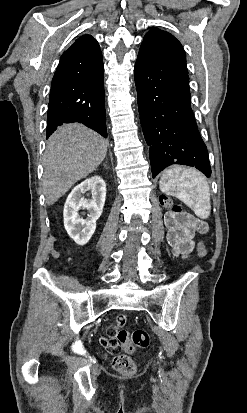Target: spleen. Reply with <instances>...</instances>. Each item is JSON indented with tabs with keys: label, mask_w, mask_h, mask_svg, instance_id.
Returning <instances> with one entry per match:
<instances>
[{
	"label": "spleen",
	"mask_w": 247,
	"mask_h": 413,
	"mask_svg": "<svg viewBox=\"0 0 247 413\" xmlns=\"http://www.w3.org/2000/svg\"><path fill=\"white\" fill-rule=\"evenodd\" d=\"M160 188L165 194L177 196L200 219L210 215V188L202 172L196 168H166L160 178Z\"/></svg>",
	"instance_id": "obj_1"
}]
</instances>
